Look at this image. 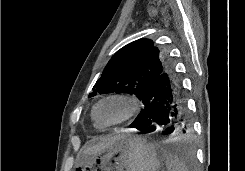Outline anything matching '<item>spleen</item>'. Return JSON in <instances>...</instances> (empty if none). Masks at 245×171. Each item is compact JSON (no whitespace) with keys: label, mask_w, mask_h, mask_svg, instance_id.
Here are the masks:
<instances>
[{"label":"spleen","mask_w":245,"mask_h":171,"mask_svg":"<svg viewBox=\"0 0 245 171\" xmlns=\"http://www.w3.org/2000/svg\"><path fill=\"white\" fill-rule=\"evenodd\" d=\"M167 171H189L186 164L175 154L162 150Z\"/></svg>","instance_id":"spleen-1"}]
</instances>
